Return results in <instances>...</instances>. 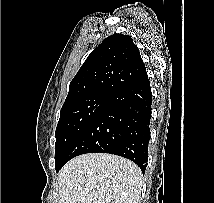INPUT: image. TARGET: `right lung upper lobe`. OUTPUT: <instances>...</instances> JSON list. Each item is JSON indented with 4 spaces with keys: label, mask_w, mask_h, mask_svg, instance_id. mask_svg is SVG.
Here are the masks:
<instances>
[{
    "label": "right lung upper lobe",
    "mask_w": 214,
    "mask_h": 203,
    "mask_svg": "<svg viewBox=\"0 0 214 203\" xmlns=\"http://www.w3.org/2000/svg\"><path fill=\"white\" fill-rule=\"evenodd\" d=\"M147 77L139 49L131 36L113 34L87 57L70 83L65 103L93 93L112 96Z\"/></svg>",
    "instance_id": "1"
}]
</instances>
